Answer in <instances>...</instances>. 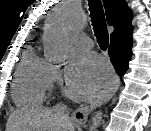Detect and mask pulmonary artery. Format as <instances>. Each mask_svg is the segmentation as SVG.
I'll return each mask as SVG.
<instances>
[{"label":"pulmonary artery","mask_w":151,"mask_h":131,"mask_svg":"<svg viewBox=\"0 0 151 131\" xmlns=\"http://www.w3.org/2000/svg\"><path fill=\"white\" fill-rule=\"evenodd\" d=\"M77 45L81 48L89 49L92 46V42L87 36H82L79 38Z\"/></svg>","instance_id":"1"}]
</instances>
